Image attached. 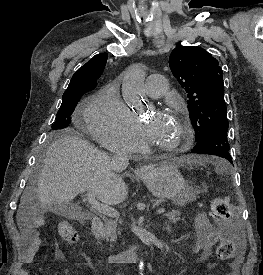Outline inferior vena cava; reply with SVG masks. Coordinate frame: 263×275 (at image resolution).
Masks as SVG:
<instances>
[{
  "mask_svg": "<svg viewBox=\"0 0 263 275\" xmlns=\"http://www.w3.org/2000/svg\"><path fill=\"white\" fill-rule=\"evenodd\" d=\"M112 162L114 165H119L125 168L129 164L128 156L121 151L113 153Z\"/></svg>",
  "mask_w": 263,
  "mask_h": 275,
  "instance_id": "602c4592",
  "label": "inferior vena cava"
}]
</instances>
